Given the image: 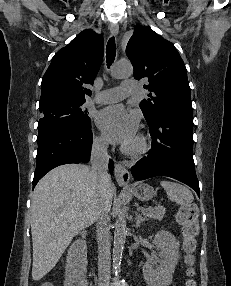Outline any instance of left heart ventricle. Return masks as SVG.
<instances>
[{"label":"left heart ventricle","mask_w":231,"mask_h":286,"mask_svg":"<svg viewBox=\"0 0 231 286\" xmlns=\"http://www.w3.org/2000/svg\"><path fill=\"white\" fill-rule=\"evenodd\" d=\"M135 144H136V139L129 146H133Z\"/></svg>","instance_id":"b2bd125f"}]
</instances>
